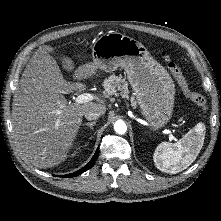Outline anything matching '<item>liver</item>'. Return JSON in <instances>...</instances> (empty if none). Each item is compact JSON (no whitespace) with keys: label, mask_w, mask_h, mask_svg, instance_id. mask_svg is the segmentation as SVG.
Here are the masks:
<instances>
[{"label":"liver","mask_w":221,"mask_h":221,"mask_svg":"<svg viewBox=\"0 0 221 221\" xmlns=\"http://www.w3.org/2000/svg\"><path fill=\"white\" fill-rule=\"evenodd\" d=\"M54 48L39 47L27 64L13 96L12 126L17 148L36 167L50 168L64 162L76 140L84 113L106 112V102L68 104L63 92L60 68L52 56ZM64 70L73 72L68 56L60 57ZM98 67L83 68L87 76H96Z\"/></svg>","instance_id":"liver-1"}]
</instances>
